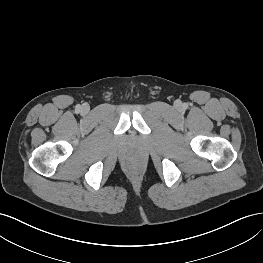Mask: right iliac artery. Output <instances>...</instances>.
Listing matches in <instances>:
<instances>
[{"mask_svg": "<svg viewBox=\"0 0 263 263\" xmlns=\"http://www.w3.org/2000/svg\"><path fill=\"white\" fill-rule=\"evenodd\" d=\"M76 109H77V111H79L80 110V106H77Z\"/></svg>", "mask_w": 263, "mask_h": 263, "instance_id": "obj_1", "label": "right iliac artery"}]
</instances>
